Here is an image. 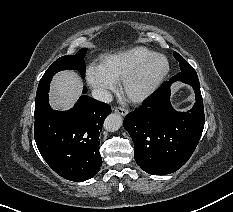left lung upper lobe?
<instances>
[{
	"label": "left lung upper lobe",
	"instance_id": "5c2ea615",
	"mask_svg": "<svg viewBox=\"0 0 233 212\" xmlns=\"http://www.w3.org/2000/svg\"><path fill=\"white\" fill-rule=\"evenodd\" d=\"M174 57L179 62L180 66V72L176 75H183V74H190V73H196L194 68L188 64L181 55H179L177 52H174Z\"/></svg>",
	"mask_w": 233,
	"mask_h": 212
}]
</instances>
